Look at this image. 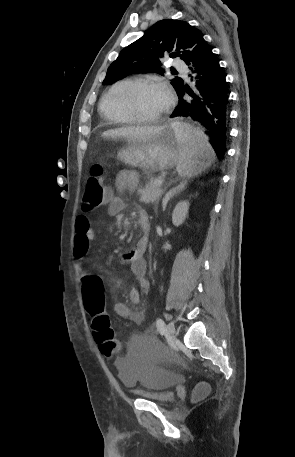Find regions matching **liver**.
I'll use <instances>...</instances> for the list:
<instances>
[{"instance_id": "6515ba94", "label": "liver", "mask_w": 295, "mask_h": 457, "mask_svg": "<svg viewBox=\"0 0 295 457\" xmlns=\"http://www.w3.org/2000/svg\"><path fill=\"white\" fill-rule=\"evenodd\" d=\"M163 126H129L110 129L102 133L104 138H124L127 141H146L153 137Z\"/></svg>"}]
</instances>
